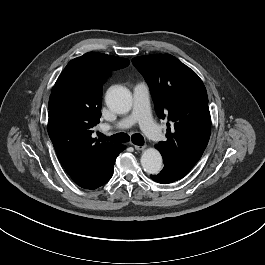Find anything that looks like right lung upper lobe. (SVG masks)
<instances>
[{
  "instance_id": "1",
  "label": "right lung upper lobe",
  "mask_w": 265,
  "mask_h": 265,
  "mask_svg": "<svg viewBox=\"0 0 265 265\" xmlns=\"http://www.w3.org/2000/svg\"><path fill=\"white\" fill-rule=\"evenodd\" d=\"M128 64L124 58L89 52L70 61L52 88L48 133L69 175L117 145L100 142L91 135L101 117L103 82L111 72Z\"/></svg>"
}]
</instances>
